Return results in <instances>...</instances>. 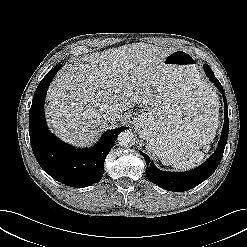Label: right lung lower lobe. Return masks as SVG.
Instances as JSON below:
<instances>
[{"mask_svg":"<svg viewBox=\"0 0 247 247\" xmlns=\"http://www.w3.org/2000/svg\"><path fill=\"white\" fill-rule=\"evenodd\" d=\"M61 67L57 65L52 68L35 91L29 112L30 142L39 165L52 178L71 187H86L100 181L105 158L119 133L126 127L105 132L100 141L89 149H77L51 134L44 115L45 96Z\"/></svg>","mask_w":247,"mask_h":247,"instance_id":"right-lung-lower-lobe-1","label":"right lung lower lobe"}]
</instances>
